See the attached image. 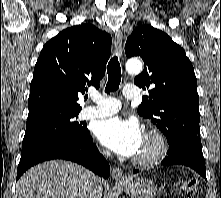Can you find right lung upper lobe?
<instances>
[{
	"label": "right lung upper lobe",
	"mask_w": 221,
	"mask_h": 198,
	"mask_svg": "<svg viewBox=\"0 0 221 198\" xmlns=\"http://www.w3.org/2000/svg\"><path fill=\"white\" fill-rule=\"evenodd\" d=\"M112 39L90 24L70 27L48 41L37 60L28 99L27 122L81 110L79 96L99 87Z\"/></svg>",
	"instance_id": "cb5924a9"
}]
</instances>
